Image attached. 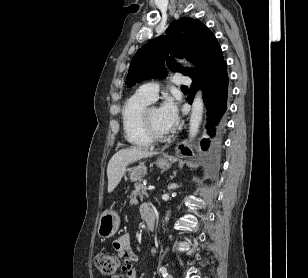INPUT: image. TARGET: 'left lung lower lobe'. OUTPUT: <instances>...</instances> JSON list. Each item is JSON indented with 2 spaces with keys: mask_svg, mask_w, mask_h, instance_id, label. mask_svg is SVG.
Segmentation results:
<instances>
[{
  "mask_svg": "<svg viewBox=\"0 0 308 278\" xmlns=\"http://www.w3.org/2000/svg\"><path fill=\"white\" fill-rule=\"evenodd\" d=\"M193 83L190 88L188 101L191 104L197 88L203 90V99L207 109V128L210 136L215 135V127L226 110L228 75L226 61L202 77L192 78ZM203 150L209 146V140L203 139L201 142ZM183 154L191 155L189 149L181 147Z\"/></svg>",
  "mask_w": 308,
  "mask_h": 278,
  "instance_id": "0a47b994",
  "label": "left lung lower lobe"
}]
</instances>
